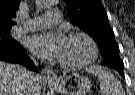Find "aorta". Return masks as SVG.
<instances>
[{"instance_id": "obj_1", "label": "aorta", "mask_w": 135, "mask_h": 95, "mask_svg": "<svg viewBox=\"0 0 135 95\" xmlns=\"http://www.w3.org/2000/svg\"><path fill=\"white\" fill-rule=\"evenodd\" d=\"M54 3L55 0H38V5L40 7H51Z\"/></svg>"}]
</instances>
